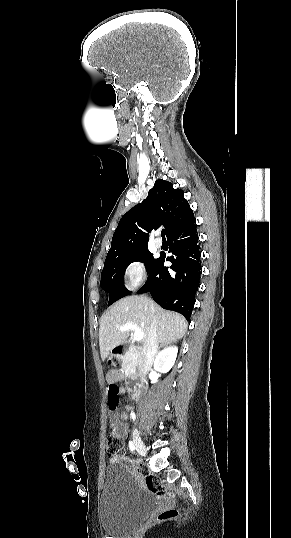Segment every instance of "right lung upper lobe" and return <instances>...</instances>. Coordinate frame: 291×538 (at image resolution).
Masks as SVG:
<instances>
[{
    "label": "right lung upper lobe",
    "instance_id": "cb5924a9",
    "mask_svg": "<svg viewBox=\"0 0 291 538\" xmlns=\"http://www.w3.org/2000/svg\"><path fill=\"white\" fill-rule=\"evenodd\" d=\"M195 221L183 191L158 179L148 196L130 209L116 228L106 259L147 248L148 232L165 226L167 238Z\"/></svg>",
    "mask_w": 291,
    "mask_h": 538
}]
</instances>
